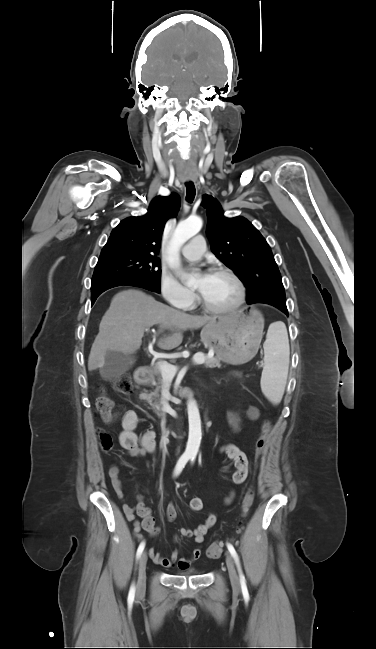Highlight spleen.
Wrapping results in <instances>:
<instances>
[{"instance_id": "obj_1", "label": "spleen", "mask_w": 376, "mask_h": 649, "mask_svg": "<svg viewBox=\"0 0 376 649\" xmlns=\"http://www.w3.org/2000/svg\"><path fill=\"white\" fill-rule=\"evenodd\" d=\"M263 348L261 389L268 400L278 404L286 386L290 355L288 335L282 323L276 322L269 327Z\"/></svg>"}]
</instances>
